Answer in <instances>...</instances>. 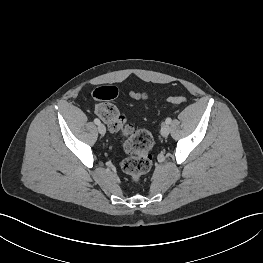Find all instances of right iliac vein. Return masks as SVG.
I'll return each instance as SVG.
<instances>
[{"instance_id":"63e3f726","label":"right iliac vein","mask_w":263,"mask_h":263,"mask_svg":"<svg viewBox=\"0 0 263 263\" xmlns=\"http://www.w3.org/2000/svg\"><path fill=\"white\" fill-rule=\"evenodd\" d=\"M98 132L101 134V135H104L106 133V128L103 124H98Z\"/></svg>"}]
</instances>
